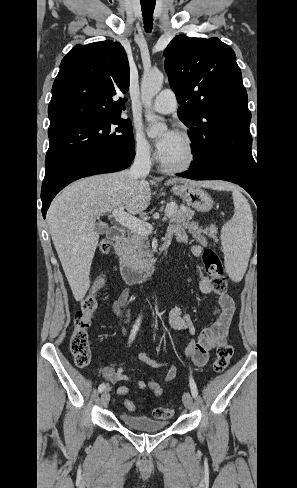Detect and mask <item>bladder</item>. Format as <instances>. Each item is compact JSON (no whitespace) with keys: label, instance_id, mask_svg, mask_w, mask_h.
Here are the masks:
<instances>
[{"label":"bladder","instance_id":"bladder-1","mask_svg":"<svg viewBox=\"0 0 297 488\" xmlns=\"http://www.w3.org/2000/svg\"><path fill=\"white\" fill-rule=\"evenodd\" d=\"M120 419L126 427L140 432L160 431L168 424L163 420L153 419L144 415H132L129 413H122Z\"/></svg>","mask_w":297,"mask_h":488}]
</instances>
